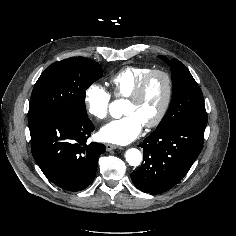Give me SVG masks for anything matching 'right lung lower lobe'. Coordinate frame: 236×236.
Listing matches in <instances>:
<instances>
[{"label":"right lung lower lobe","instance_id":"1","mask_svg":"<svg viewBox=\"0 0 236 236\" xmlns=\"http://www.w3.org/2000/svg\"><path fill=\"white\" fill-rule=\"evenodd\" d=\"M32 155L44 175L60 188L77 192L94 180L105 145L86 141L94 130L87 116L30 114Z\"/></svg>","mask_w":236,"mask_h":236}]
</instances>
